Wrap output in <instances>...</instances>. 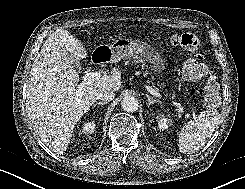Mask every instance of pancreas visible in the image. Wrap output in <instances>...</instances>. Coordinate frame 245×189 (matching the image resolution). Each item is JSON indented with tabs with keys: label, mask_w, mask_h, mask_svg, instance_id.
<instances>
[{
	"label": "pancreas",
	"mask_w": 245,
	"mask_h": 189,
	"mask_svg": "<svg viewBox=\"0 0 245 189\" xmlns=\"http://www.w3.org/2000/svg\"><path fill=\"white\" fill-rule=\"evenodd\" d=\"M134 59V63L136 64V63H141L142 64V68L143 69H146V71H144L143 72V74L146 76L148 73H147V70H148V66L146 65V62L143 60V59H141V58H139V57H134L133 58ZM129 63V61H126L125 62V64H128ZM154 77H152V79H153ZM152 84H153V87H154V83L152 82Z\"/></svg>",
	"instance_id": "pancreas-1"
}]
</instances>
